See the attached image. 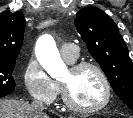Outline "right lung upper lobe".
Masks as SVG:
<instances>
[{"label": "right lung upper lobe", "instance_id": "obj_1", "mask_svg": "<svg viewBox=\"0 0 133 118\" xmlns=\"http://www.w3.org/2000/svg\"><path fill=\"white\" fill-rule=\"evenodd\" d=\"M25 18L21 11L0 14V58L18 56L23 44Z\"/></svg>", "mask_w": 133, "mask_h": 118}]
</instances>
